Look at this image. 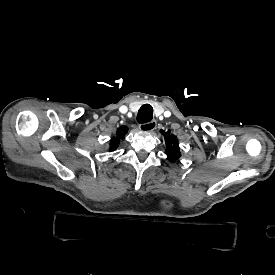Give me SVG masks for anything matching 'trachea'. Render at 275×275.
I'll return each instance as SVG.
<instances>
[{
  "label": "trachea",
  "instance_id": "1",
  "mask_svg": "<svg viewBox=\"0 0 275 275\" xmlns=\"http://www.w3.org/2000/svg\"><path fill=\"white\" fill-rule=\"evenodd\" d=\"M153 118V108L150 104H144L138 111L137 121L139 123L150 122Z\"/></svg>",
  "mask_w": 275,
  "mask_h": 275
}]
</instances>
